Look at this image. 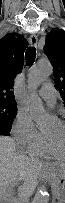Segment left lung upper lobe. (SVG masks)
Here are the masks:
<instances>
[{
	"label": "left lung upper lobe",
	"mask_w": 65,
	"mask_h": 203,
	"mask_svg": "<svg viewBox=\"0 0 65 203\" xmlns=\"http://www.w3.org/2000/svg\"><path fill=\"white\" fill-rule=\"evenodd\" d=\"M44 51L53 66L55 87L65 101V31L56 29L49 32Z\"/></svg>",
	"instance_id": "1"
}]
</instances>
